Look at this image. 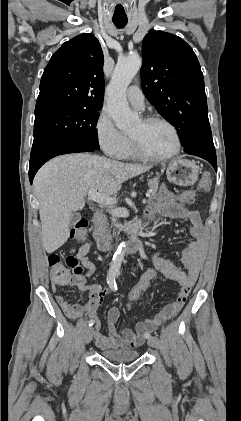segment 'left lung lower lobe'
Wrapping results in <instances>:
<instances>
[{"instance_id": "1", "label": "left lung lower lobe", "mask_w": 241, "mask_h": 421, "mask_svg": "<svg viewBox=\"0 0 241 421\" xmlns=\"http://www.w3.org/2000/svg\"><path fill=\"white\" fill-rule=\"evenodd\" d=\"M186 153L207 160L214 167L215 171H217V158L213 143L201 144L192 150L186 151Z\"/></svg>"}]
</instances>
